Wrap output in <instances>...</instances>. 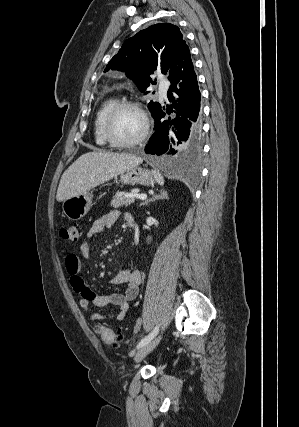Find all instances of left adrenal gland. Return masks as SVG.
<instances>
[{"mask_svg": "<svg viewBox=\"0 0 299 427\" xmlns=\"http://www.w3.org/2000/svg\"><path fill=\"white\" fill-rule=\"evenodd\" d=\"M158 199H168V194L165 190L161 189L160 194L153 195L150 199L146 200L145 202L141 203L140 206L148 205L150 202H153Z\"/></svg>", "mask_w": 299, "mask_h": 427, "instance_id": "left-adrenal-gland-1", "label": "left adrenal gland"}]
</instances>
